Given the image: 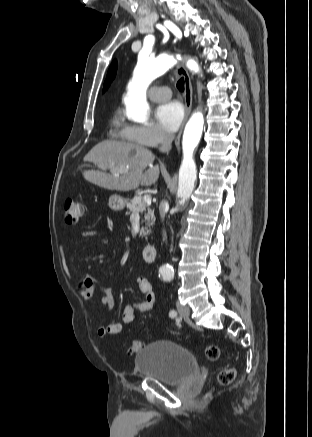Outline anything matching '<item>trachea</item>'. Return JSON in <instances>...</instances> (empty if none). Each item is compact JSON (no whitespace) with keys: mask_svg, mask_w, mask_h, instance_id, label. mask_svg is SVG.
<instances>
[{"mask_svg":"<svg viewBox=\"0 0 312 437\" xmlns=\"http://www.w3.org/2000/svg\"><path fill=\"white\" fill-rule=\"evenodd\" d=\"M177 88L180 91H184V78H181L178 82H177Z\"/></svg>","mask_w":312,"mask_h":437,"instance_id":"3493384b","label":"trachea"}]
</instances>
